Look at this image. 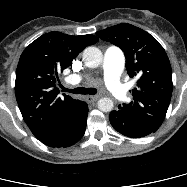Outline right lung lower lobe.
<instances>
[{"mask_svg": "<svg viewBox=\"0 0 187 187\" xmlns=\"http://www.w3.org/2000/svg\"><path fill=\"white\" fill-rule=\"evenodd\" d=\"M88 105L81 101L68 117L40 140L50 147H69L78 142L85 133Z\"/></svg>", "mask_w": 187, "mask_h": 187, "instance_id": "right-lung-lower-lobe-1", "label": "right lung lower lobe"}]
</instances>
